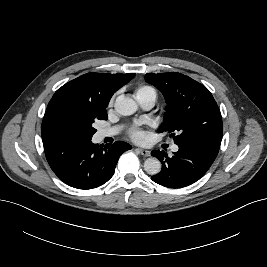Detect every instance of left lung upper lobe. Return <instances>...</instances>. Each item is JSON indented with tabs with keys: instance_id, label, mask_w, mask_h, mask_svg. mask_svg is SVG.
<instances>
[{
	"instance_id": "obj_1",
	"label": "left lung upper lobe",
	"mask_w": 267,
	"mask_h": 267,
	"mask_svg": "<svg viewBox=\"0 0 267 267\" xmlns=\"http://www.w3.org/2000/svg\"><path fill=\"white\" fill-rule=\"evenodd\" d=\"M145 80L163 93L167 103V112L158 132L171 133L177 145L209 140L221 142L220 110L204 85L177 72L148 73Z\"/></svg>"
}]
</instances>
